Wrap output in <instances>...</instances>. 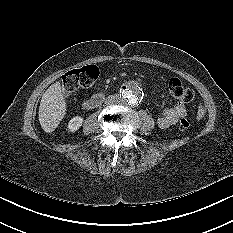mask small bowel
<instances>
[{"instance_id": "small-bowel-1", "label": "small bowel", "mask_w": 233, "mask_h": 233, "mask_svg": "<svg viewBox=\"0 0 233 233\" xmlns=\"http://www.w3.org/2000/svg\"><path fill=\"white\" fill-rule=\"evenodd\" d=\"M187 109L183 102H177L174 106L165 108L157 117L156 123L159 128L167 129L177 124L182 118L186 117Z\"/></svg>"}]
</instances>
